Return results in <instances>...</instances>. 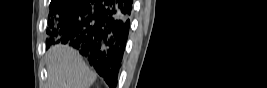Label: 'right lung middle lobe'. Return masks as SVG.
Here are the masks:
<instances>
[{
	"label": "right lung middle lobe",
	"mask_w": 267,
	"mask_h": 88,
	"mask_svg": "<svg viewBox=\"0 0 267 88\" xmlns=\"http://www.w3.org/2000/svg\"><path fill=\"white\" fill-rule=\"evenodd\" d=\"M72 1L73 0H52L51 1V4H50V13H49V16H53L55 14H58L59 12H61L62 10H64L67 6H69ZM48 34L51 37V33L48 32Z\"/></svg>",
	"instance_id": "dd1d6c3e"
}]
</instances>
